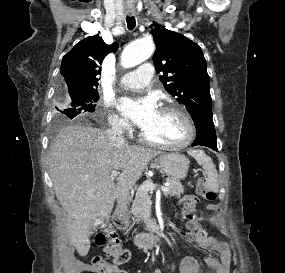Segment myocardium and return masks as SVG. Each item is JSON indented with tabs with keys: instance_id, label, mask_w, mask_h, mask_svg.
<instances>
[{
	"instance_id": "obj_1",
	"label": "myocardium",
	"mask_w": 285,
	"mask_h": 273,
	"mask_svg": "<svg viewBox=\"0 0 285 273\" xmlns=\"http://www.w3.org/2000/svg\"><path fill=\"white\" fill-rule=\"evenodd\" d=\"M160 111L176 113L184 122L186 127V135L183 140L177 143H160L149 139L143 130L139 133L140 140L154 148L165 150H181L188 147L195 139L196 126L190 114L181 106L177 104H167L160 108Z\"/></svg>"
}]
</instances>
